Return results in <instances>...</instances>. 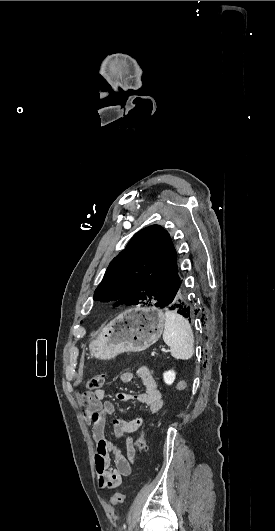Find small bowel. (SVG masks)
<instances>
[{
  "label": "small bowel",
  "instance_id": "small-bowel-1",
  "mask_svg": "<svg viewBox=\"0 0 275 531\" xmlns=\"http://www.w3.org/2000/svg\"><path fill=\"white\" fill-rule=\"evenodd\" d=\"M137 374L145 387V391L124 393L121 399L125 402H138L151 414L159 413L163 405L162 393L152 372L148 367L142 366L138 369ZM132 379L133 374L129 371L120 375V381L124 384L130 383ZM105 397L106 391L104 389L83 395L85 402L84 420L88 425H91L96 451L94 464L99 485L102 488L113 489L118 487L123 478L132 472L136 456L132 434L143 425L144 417L139 416L129 421L119 417L113 418L112 434L115 439H124V453L116 442L106 437L107 419L115 416L116 408L114 403L105 400Z\"/></svg>",
  "mask_w": 275,
  "mask_h": 531
}]
</instances>
